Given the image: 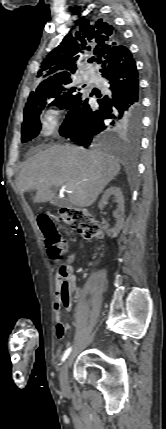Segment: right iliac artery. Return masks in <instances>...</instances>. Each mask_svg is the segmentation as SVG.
Segmentation results:
<instances>
[{
    "label": "right iliac artery",
    "mask_w": 166,
    "mask_h": 429,
    "mask_svg": "<svg viewBox=\"0 0 166 429\" xmlns=\"http://www.w3.org/2000/svg\"><path fill=\"white\" fill-rule=\"evenodd\" d=\"M71 350H72V348L70 347L64 352L63 357H62V361H65V359L69 356Z\"/></svg>",
    "instance_id": "obj_1"
}]
</instances>
